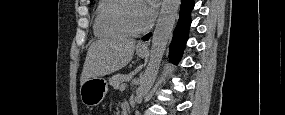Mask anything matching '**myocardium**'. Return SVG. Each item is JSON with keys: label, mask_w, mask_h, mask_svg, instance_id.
Segmentation results:
<instances>
[{"label": "myocardium", "mask_w": 285, "mask_h": 115, "mask_svg": "<svg viewBox=\"0 0 285 115\" xmlns=\"http://www.w3.org/2000/svg\"><path fill=\"white\" fill-rule=\"evenodd\" d=\"M132 2H137L135 0H121L117 5L116 9L113 12L112 19L115 24L127 35L135 36L142 34L148 30V25L141 29H132L124 19V11L127 8L128 4Z\"/></svg>", "instance_id": "1"}]
</instances>
